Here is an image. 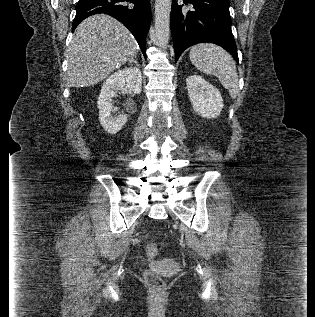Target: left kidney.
Returning <instances> with one entry per match:
<instances>
[{"mask_svg": "<svg viewBox=\"0 0 315 317\" xmlns=\"http://www.w3.org/2000/svg\"><path fill=\"white\" fill-rule=\"evenodd\" d=\"M188 95L194 111L206 118H215L223 109V99L219 90L199 75L186 79Z\"/></svg>", "mask_w": 315, "mask_h": 317, "instance_id": "obj_1", "label": "left kidney"}]
</instances>
